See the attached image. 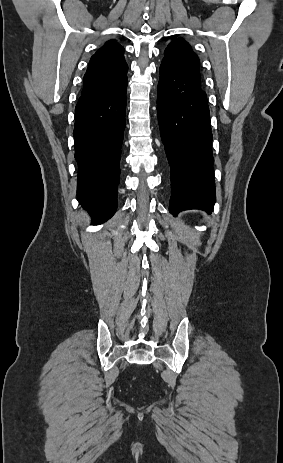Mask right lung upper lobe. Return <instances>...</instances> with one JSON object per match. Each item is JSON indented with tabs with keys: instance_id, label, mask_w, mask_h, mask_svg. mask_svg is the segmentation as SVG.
<instances>
[{
	"instance_id": "1",
	"label": "right lung upper lobe",
	"mask_w": 283,
	"mask_h": 463,
	"mask_svg": "<svg viewBox=\"0 0 283 463\" xmlns=\"http://www.w3.org/2000/svg\"><path fill=\"white\" fill-rule=\"evenodd\" d=\"M124 48L115 41H108L90 59L84 75L82 93L90 92L109 85L127 73Z\"/></svg>"
}]
</instances>
